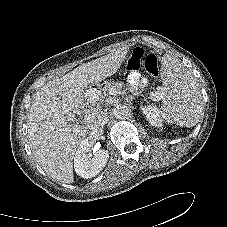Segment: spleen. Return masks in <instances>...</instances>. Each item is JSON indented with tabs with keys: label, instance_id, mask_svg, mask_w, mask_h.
Listing matches in <instances>:
<instances>
[{
	"label": "spleen",
	"instance_id": "spleen-1",
	"mask_svg": "<svg viewBox=\"0 0 227 227\" xmlns=\"http://www.w3.org/2000/svg\"><path fill=\"white\" fill-rule=\"evenodd\" d=\"M162 91L155 92L164 102L160 114L167 123L193 127L203 114V99L196 81L177 59H162ZM152 97V95H151Z\"/></svg>",
	"mask_w": 227,
	"mask_h": 227
}]
</instances>
